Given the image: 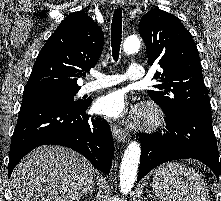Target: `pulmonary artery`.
<instances>
[{
  "instance_id": "obj_1",
  "label": "pulmonary artery",
  "mask_w": 221,
  "mask_h": 201,
  "mask_svg": "<svg viewBox=\"0 0 221 201\" xmlns=\"http://www.w3.org/2000/svg\"><path fill=\"white\" fill-rule=\"evenodd\" d=\"M95 81H91L82 86V93H90L92 91L116 85L126 79L140 80L145 77V70L142 65L133 63L130 65L125 75H107L102 73H94Z\"/></svg>"
}]
</instances>
